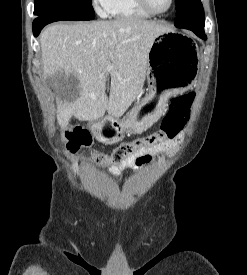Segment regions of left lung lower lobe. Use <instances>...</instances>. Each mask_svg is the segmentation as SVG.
Segmentation results:
<instances>
[{
  "instance_id": "0a47b994",
  "label": "left lung lower lobe",
  "mask_w": 247,
  "mask_h": 275,
  "mask_svg": "<svg viewBox=\"0 0 247 275\" xmlns=\"http://www.w3.org/2000/svg\"><path fill=\"white\" fill-rule=\"evenodd\" d=\"M188 30L193 31L198 37H200L203 40L207 39V36L205 35L204 28H185Z\"/></svg>"
}]
</instances>
